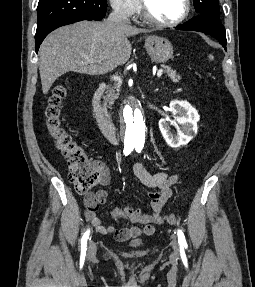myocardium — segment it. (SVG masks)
<instances>
[{"label":"myocardium","mask_w":255,"mask_h":287,"mask_svg":"<svg viewBox=\"0 0 255 287\" xmlns=\"http://www.w3.org/2000/svg\"><path fill=\"white\" fill-rule=\"evenodd\" d=\"M146 33H152V32H146ZM168 33H174V32H168ZM131 39H137V38H131ZM145 39H151V38H145ZM164 39H173V38H164ZM130 48H135V47H130ZM150 48V47H146Z\"/></svg>","instance_id":"f54148a6"}]
</instances>
